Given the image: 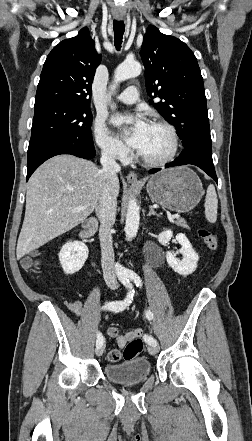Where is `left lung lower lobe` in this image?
Wrapping results in <instances>:
<instances>
[{
  "instance_id": "1",
  "label": "left lung lower lobe",
  "mask_w": 252,
  "mask_h": 441,
  "mask_svg": "<svg viewBox=\"0 0 252 441\" xmlns=\"http://www.w3.org/2000/svg\"><path fill=\"white\" fill-rule=\"evenodd\" d=\"M192 164L200 167L205 171L210 177H212L216 182L217 176L215 173V168L212 160V145L211 141L208 140H196L184 147L179 157H177L173 162L165 165V168ZM160 169H153L150 173H155Z\"/></svg>"
}]
</instances>
